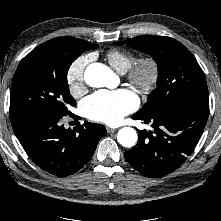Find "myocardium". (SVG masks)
<instances>
[{
  "label": "myocardium",
  "instance_id": "1",
  "mask_svg": "<svg viewBox=\"0 0 221 221\" xmlns=\"http://www.w3.org/2000/svg\"><path fill=\"white\" fill-rule=\"evenodd\" d=\"M159 74V64L152 56L138 58L126 71L129 83L141 93H148L156 87Z\"/></svg>",
  "mask_w": 221,
  "mask_h": 221
}]
</instances>
